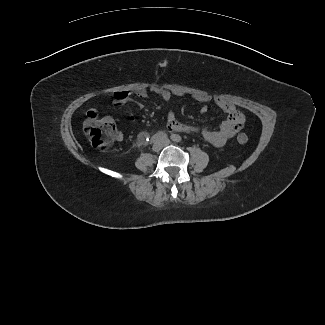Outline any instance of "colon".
Segmentation results:
<instances>
[{
    "instance_id": "colon-1",
    "label": "colon",
    "mask_w": 325,
    "mask_h": 325,
    "mask_svg": "<svg viewBox=\"0 0 325 325\" xmlns=\"http://www.w3.org/2000/svg\"><path fill=\"white\" fill-rule=\"evenodd\" d=\"M116 132L115 122L111 118L99 117V115H87L84 124V134L91 145L105 151L110 148ZM237 141L241 144L248 142V136L245 133L237 135Z\"/></svg>"
}]
</instances>
